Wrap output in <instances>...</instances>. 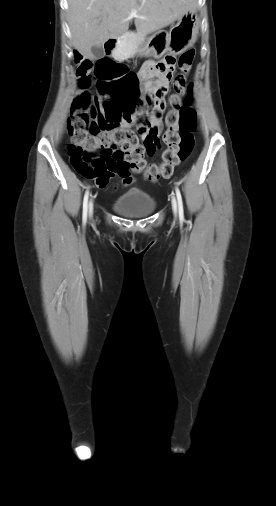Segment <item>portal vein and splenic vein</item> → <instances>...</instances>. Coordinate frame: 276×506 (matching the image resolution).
I'll return each mask as SVG.
<instances>
[{"label": "portal vein and splenic vein", "instance_id": "1", "mask_svg": "<svg viewBox=\"0 0 276 506\" xmlns=\"http://www.w3.org/2000/svg\"><path fill=\"white\" fill-rule=\"evenodd\" d=\"M131 15H132V16H135V15H136V11H133Z\"/></svg>", "mask_w": 276, "mask_h": 506}]
</instances>
